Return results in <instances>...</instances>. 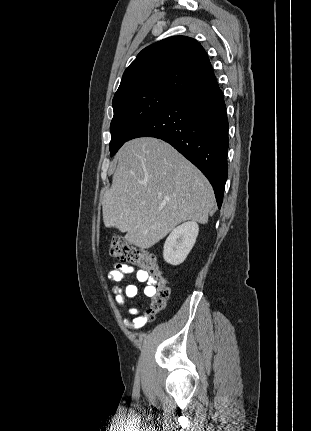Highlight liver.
I'll use <instances>...</instances> for the list:
<instances>
[{
  "mask_svg": "<svg viewBox=\"0 0 311 431\" xmlns=\"http://www.w3.org/2000/svg\"><path fill=\"white\" fill-rule=\"evenodd\" d=\"M213 206V188L193 164L162 140L136 138L118 152L102 212L106 227L148 249L181 221L207 223Z\"/></svg>",
  "mask_w": 311,
  "mask_h": 431,
  "instance_id": "obj_1",
  "label": "liver"
}]
</instances>
